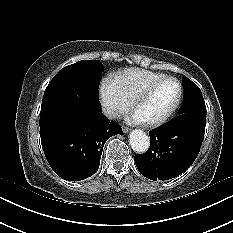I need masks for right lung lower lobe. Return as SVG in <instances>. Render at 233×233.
Here are the masks:
<instances>
[{"label":"right lung lower lobe","mask_w":233,"mask_h":233,"mask_svg":"<svg viewBox=\"0 0 233 233\" xmlns=\"http://www.w3.org/2000/svg\"><path fill=\"white\" fill-rule=\"evenodd\" d=\"M74 122H56L42 129L45 157L54 172L69 181L92 176L99 168L103 146L121 127L101 112L100 102L82 100Z\"/></svg>","instance_id":"98d812e1"}]
</instances>
